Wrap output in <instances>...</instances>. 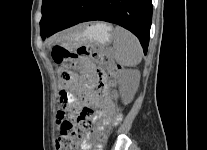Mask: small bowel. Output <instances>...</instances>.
Here are the masks:
<instances>
[{
	"label": "small bowel",
	"instance_id": "c3829d8e",
	"mask_svg": "<svg viewBox=\"0 0 207 150\" xmlns=\"http://www.w3.org/2000/svg\"><path fill=\"white\" fill-rule=\"evenodd\" d=\"M84 68L83 77H77L70 75V77L75 78V87H73V96L72 99L77 100V96L80 98L81 102L86 105L100 106L106 105L109 106V101L101 97L99 94L95 93L91 88V81L89 79L92 73H97L98 83L105 90L106 89V78L102 71L96 69V67L89 60L84 59L82 61ZM77 95V96H76ZM77 104V103H76ZM119 117L115 118V121H118ZM101 146L98 145V148Z\"/></svg>",
	"mask_w": 207,
	"mask_h": 150
}]
</instances>
